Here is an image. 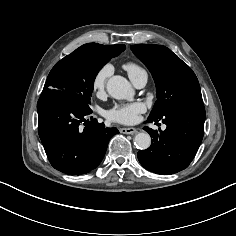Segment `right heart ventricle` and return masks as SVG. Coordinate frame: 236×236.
<instances>
[{"label": "right heart ventricle", "mask_w": 236, "mask_h": 236, "mask_svg": "<svg viewBox=\"0 0 236 236\" xmlns=\"http://www.w3.org/2000/svg\"><path fill=\"white\" fill-rule=\"evenodd\" d=\"M124 68L128 72L131 80H134L139 75L146 73V71L142 67H140L138 64L133 63V62L126 63L124 65Z\"/></svg>", "instance_id": "1"}]
</instances>
